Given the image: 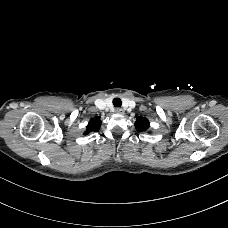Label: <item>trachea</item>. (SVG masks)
<instances>
[{
	"mask_svg": "<svg viewBox=\"0 0 228 228\" xmlns=\"http://www.w3.org/2000/svg\"><path fill=\"white\" fill-rule=\"evenodd\" d=\"M113 105H114L115 107H121V105H122L121 99H119V98H114V99H113Z\"/></svg>",
	"mask_w": 228,
	"mask_h": 228,
	"instance_id": "1",
	"label": "trachea"
}]
</instances>
